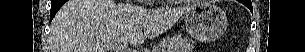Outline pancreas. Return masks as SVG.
I'll return each mask as SVG.
<instances>
[{
	"label": "pancreas",
	"instance_id": "1",
	"mask_svg": "<svg viewBox=\"0 0 305 52\" xmlns=\"http://www.w3.org/2000/svg\"><path fill=\"white\" fill-rule=\"evenodd\" d=\"M166 48L168 52H191L193 49V41L188 37L175 35L167 40Z\"/></svg>",
	"mask_w": 305,
	"mask_h": 52
}]
</instances>
